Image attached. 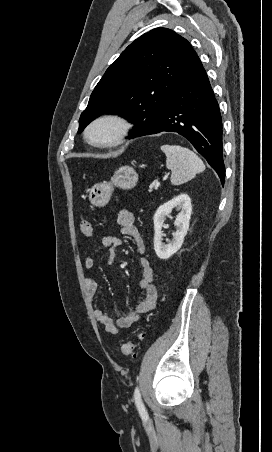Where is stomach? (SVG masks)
<instances>
[{"instance_id": "0dacf381", "label": "stomach", "mask_w": 272, "mask_h": 452, "mask_svg": "<svg viewBox=\"0 0 272 452\" xmlns=\"http://www.w3.org/2000/svg\"><path fill=\"white\" fill-rule=\"evenodd\" d=\"M138 182V174L131 166H122L114 172L110 182L95 184L89 189L88 199L92 206H105L114 191V187L121 189H131Z\"/></svg>"}]
</instances>
